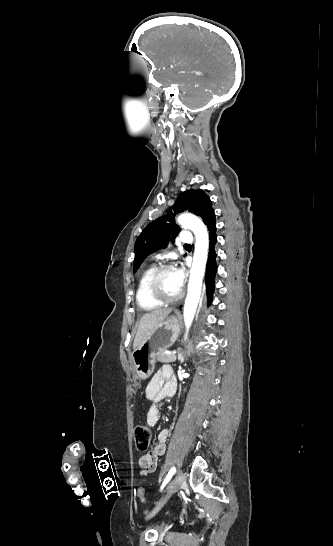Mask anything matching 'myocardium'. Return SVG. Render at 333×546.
Segmentation results:
<instances>
[{"instance_id":"myocardium-1","label":"myocardium","mask_w":333,"mask_h":546,"mask_svg":"<svg viewBox=\"0 0 333 546\" xmlns=\"http://www.w3.org/2000/svg\"><path fill=\"white\" fill-rule=\"evenodd\" d=\"M174 267L170 264H164L156 267L154 271L152 272L149 281H148V291L150 296L162 303V304H168V303H174L176 301H179L184 296V291L181 290L180 293L174 297H167L165 296L159 286V279L161 275L168 270H173Z\"/></svg>"}]
</instances>
